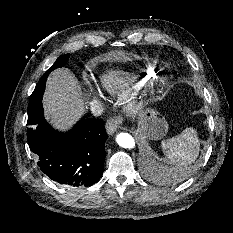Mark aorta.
Here are the masks:
<instances>
[{"mask_svg": "<svg viewBox=\"0 0 233 233\" xmlns=\"http://www.w3.org/2000/svg\"><path fill=\"white\" fill-rule=\"evenodd\" d=\"M116 142L118 143L119 146L123 148H134L135 147V140L134 138L128 134V133H119L116 136Z\"/></svg>", "mask_w": 233, "mask_h": 233, "instance_id": "aorta-1", "label": "aorta"}]
</instances>
